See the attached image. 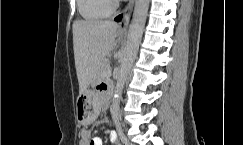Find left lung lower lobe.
<instances>
[{
	"label": "left lung lower lobe",
	"instance_id": "1",
	"mask_svg": "<svg viewBox=\"0 0 243 145\" xmlns=\"http://www.w3.org/2000/svg\"><path fill=\"white\" fill-rule=\"evenodd\" d=\"M122 15H119L118 17L115 18L116 21H120L121 20Z\"/></svg>",
	"mask_w": 243,
	"mask_h": 145
}]
</instances>
